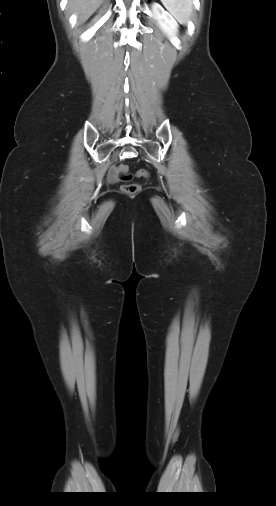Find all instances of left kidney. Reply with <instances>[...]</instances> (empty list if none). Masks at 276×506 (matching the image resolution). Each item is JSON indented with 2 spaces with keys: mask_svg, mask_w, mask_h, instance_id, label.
Returning <instances> with one entry per match:
<instances>
[{
  "mask_svg": "<svg viewBox=\"0 0 276 506\" xmlns=\"http://www.w3.org/2000/svg\"><path fill=\"white\" fill-rule=\"evenodd\" d=\"M152 12L161 30L171 39H176L178 31L176 21L157 3L152 6Z\"/></svg>",
  "mask_w": 276,
  "mask_h": 506,
  "instance_id": "5707ae66",
  "label": "left kidney"
}]
</instances>
